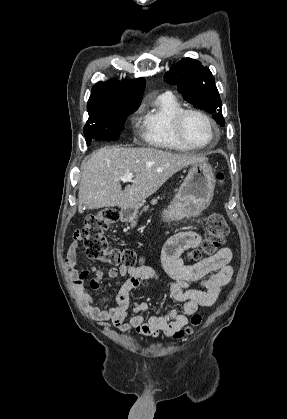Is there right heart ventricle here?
<instances>
[{"label": "right heart ventricle", "mask_w": 287, "mask_h": 419, "mask_svg": "<svg viewBox=\"0 0 287 419\" xmlns=\"http://www.w3.org/2000/svg\"><path fill=\"white\" fill-rule=\"evenodd\" d=\"M182 109L179 100L169 92L157 96L143 107L139 132L144 142L156 148L192 150L180 142L173 128L174 116Z\"/></svg>", "instance_id": "right-heart-ventricle-1"}]
</instances>
